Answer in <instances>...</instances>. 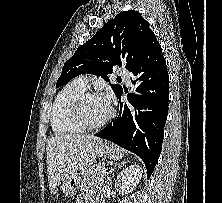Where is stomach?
I'll use <instances>...</instances> for the list:
<instances>
[{
	"label": "stomach",
	"instance_id": "1",
	"mask_svg": "<svg viewBox=\"0 0 222 203\" xmlns=\"http://www.w3.org/2000/svg\"><path fill=\"white\" fill-rule=\"evenodd\" d=\"M97 155L112 160L121 159L123 151L114 144L101 143L97 149ZM82 185V178L80 173L76 172L70 178L63 182L62 190L65 196H73Z\"/></svg>",
	"mask_w": 222,
	"mask_h": 203
}]
</instances>
